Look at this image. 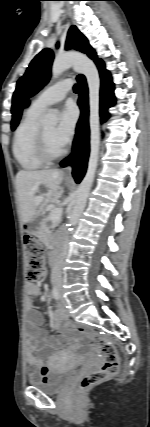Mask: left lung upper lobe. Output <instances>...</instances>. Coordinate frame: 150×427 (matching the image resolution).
Segmentation results:
<instances>
[{
    "label": "left lung upper lobe",
    "instance_id": "5c2ea615",
    "mask_svg": "<svg viewBox=\"0 0 150 427\" xmlns=\"http://www.w3.org/2000/svg\"><path fill=\"white\" fill-rule=\"evenodd\" d=\"M65 48L79 50L86 53L95 62L98 60L94 49L89 45L86 37L75 26L69 29ZM53 58L54 54L51 49H43L31 61L26 73L18 80L12 98V130H14L19 123L24 101L28 97L36 94L49 81ZM82 76L83 75H79L77 78Z\"/></svg>",
    "mask_w": 150,
    "mask_h": 427
}]
</instances>
